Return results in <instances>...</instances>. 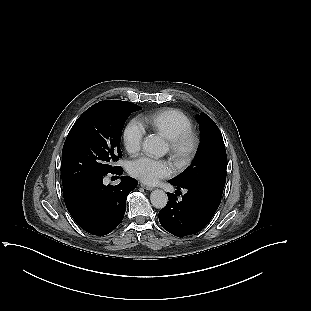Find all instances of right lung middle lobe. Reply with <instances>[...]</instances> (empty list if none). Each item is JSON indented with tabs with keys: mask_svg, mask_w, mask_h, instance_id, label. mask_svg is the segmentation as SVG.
Returning <instances> with one entry per match:
<instances>
[{
	"mask_svg": "<svg viewBox=\"0 0 311 311\" xmlns=\"http://www.w3.org/2000/svg\"><path fill=\"white\" fill-rule=\"evenodd\" d=\"M141 107L127 101H101L87 109L71 128L62 151V185L119 169L121 133L128 116Z\"/></svg>",
	"mask_w": 311,
	"mask_h": 311,
	"instance_id": "dd1d6c3e",
	"label": "right lung middle lobe"
}]
</instances>
